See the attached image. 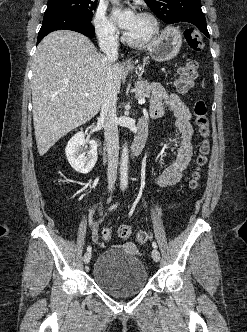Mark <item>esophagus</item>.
Instances as JSON below:
<instances>
[{
    "instance_id": "esophagus-1",
    "label": "esophagus",
    "mask_w": 247,
    "mask_h": 332,
    "mask_svg": "<svg viewBox=\"0 0 247 332\" xmlns=\"http://www.w3.org/2000/svg\"><path fill=\"white\" fill-rule=\"evenodd\" d=\"M122 65H123V66H129V65H131V61H130V59H124V60L122 61Z\"/></svg>"
}]
</instances>
